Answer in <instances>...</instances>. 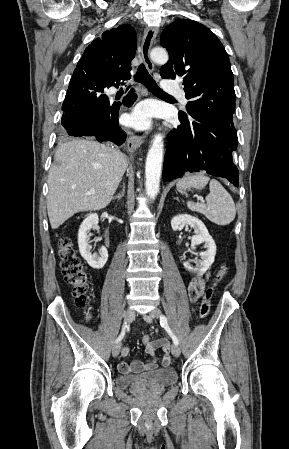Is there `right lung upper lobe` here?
Returning a JSON list of instances; mask_svg holds the SVG:
<instances>
[{
  "label": "right lung upper lobe",
  "mask_w": 289,
  "mask_h": 449,
  "mask_svg": "<svg viewBox=\"0 0 289 449\" xmlns=\"http://www.w3.org/2000/svg\"><path fill=\"white\" fill-rule=\"evenodd\" d=\"M136 40V33L128 24L105 31L85 49L72 77L118 86L120 80L130 79Z\"/></svg>",
  "instance_id": "obj_1"
}]
</instances>
